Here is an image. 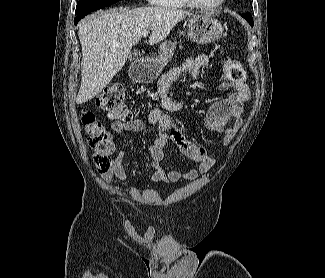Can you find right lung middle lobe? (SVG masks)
<instances>
[{
    "mask_svg": "<svg viewBox=\"0 0 325 278\" xmlns=\"http://www.w3.org/2000/svg\"><path fill=\"white\" fill-rule=\"evenodd\" d=\"M119 0H79L76 7V17L86 15L94 10L111 5Z\"/></svg>",
    "mask_w": 325,
    "mask_h": 278,
    "instance_id": "1",
    "label": "right lung middle lobe"
}]
</instances>
